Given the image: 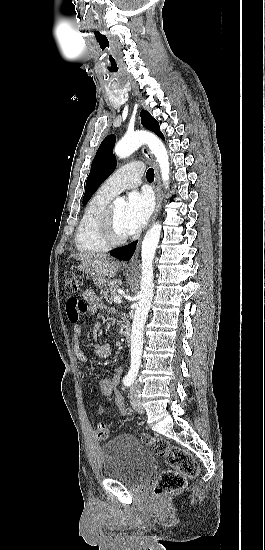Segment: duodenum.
Listing matches in <instances>:
<instances>
[{
  "mask_svg": "<svg viewBox=\"0 0 265 550\" xmlns=\"http://www.w3.org/2000/svg\"><path fill=\"white\" fill-rule=\"evenodd\" d=\"M124 337L126 342L129 344L131 341V330L128 324H126L124 327Z\"/></svg>",
  "mask_w": 265,
  "mask_h": 550,
  "instance_id": "410a0bca",
  "label": "duodenum"
}]
</instances>
